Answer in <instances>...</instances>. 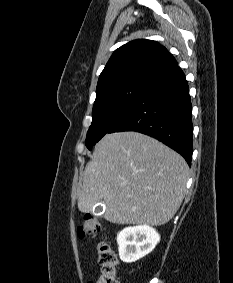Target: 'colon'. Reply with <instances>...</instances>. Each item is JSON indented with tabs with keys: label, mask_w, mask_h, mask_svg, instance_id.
Instances as JSON below:
<instances>
[{
	"label": "colon",
	"mask_w": 233,
	"mask_h": 283,
	"mask_svg": "<svg viewBox=\"0 0 233 283\" xmlns=\"http://www.w3.org/2000/svg\"><path fill=\"white\" fill-rule=\"evenodd\" d=\"M77 231L81 238L96 237L101 231V224L96 217L86 215ZM98 264L100 273L94 283H119L117 280L119 260L112 247L107 243L99 244Z\"/></svg>",
	"instance_id": "obj_1"
}]
</instances>
